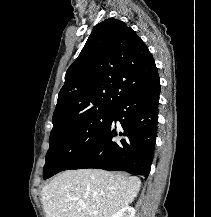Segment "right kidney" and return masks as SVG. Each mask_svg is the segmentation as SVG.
<instances>
[{
	"label": "right kidney",
	"instance_id": "right-kidney-1",
	"mask_svg": "<svg viewBox=\"0 0 211 217\" xmlns=\"http://www.w3.org/2000/svg\"><path fill=\"white\" fill-rule=\"evenodd\" d=\"M112 217H135V210L131 206H125L116 212Z\"/></svg>",
	"mask_w": 211,
	"mask_h": 217
}]
</instances>
